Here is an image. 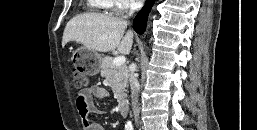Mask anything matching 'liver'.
Returning a JSON list of instances; mask_svg holds the SVG:
<instances>
[{
	"instance_id": "liver-1",
	"label": "liver",
	"mask_w": 257,
	"mask_h": 130,
	"mask_svg": "<svg viewBox=\"0 0 257 130\" xmlns=\"http://www.w3.org/2000/svg\"><path fill=\"white\" fill-rule=\"evenodd\" d=\"M127 22L105 14L85 13L73 17L63 32L62 46L76 41L96 52L117 50L124 55L130 53L133 44V32L128 31Z\"/></svg>"
}]
</instances>
